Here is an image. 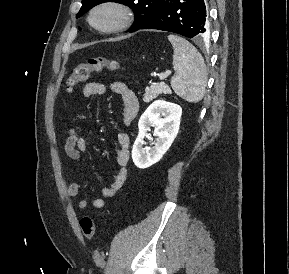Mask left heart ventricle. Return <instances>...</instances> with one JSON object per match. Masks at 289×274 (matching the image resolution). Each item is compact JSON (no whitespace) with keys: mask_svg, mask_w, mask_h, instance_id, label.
Instances as JSON below:
<instances>
[{"mask_svg":"<svg viewBox=\"0 0 289 274\" xmlns=\"http://www.w3.org/2000/svg\"><path fill=\"white\" fill-rule=\"evenodd\" d=\"M115 13L110 10H102L95 14L94 23L101 27L111 25L115 21Z\"/></svg>","mask_w":289,"mask_h":274,"instance_id":"1","label":"left heart ventricle"}]
</instances>
